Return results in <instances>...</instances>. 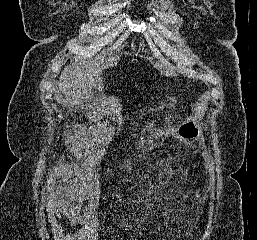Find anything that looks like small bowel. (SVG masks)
<instances>
[{"label": "small bowel", "mask_w": 257, "mask_h": 240, "mask_svg": "<svg viewBox=\"0 0 257 240\" xmlns=\"http://www.w3.org/2000/svg\"><path fill=\"white\" fill-rule=\"evenodd\" d=\"M52 174L50 180L54 181ZM48 220L55 240H97L99 220L96 214V203L92 201L88 206L72 205L53 202L47 209ZM65 219L70 224L81 225L78 231L70 233L60 223ZM135 240V239H132Z\"/></svg>", "instance_id": "1"}]
</instances>
